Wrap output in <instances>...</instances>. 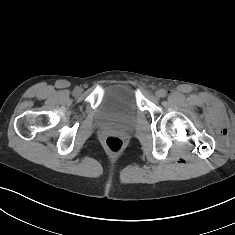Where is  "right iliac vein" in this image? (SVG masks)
<instances>
[{"label":"right iliac vein","mask_w":235,"mask_h":235,"mask_svg":"<svg viewBox=\"0 0 235 235\" xmlns=\"http://www.w3.org/2000/svg\"><path fill=\"white\" fill-rule=\"evenodd\" d=\"M81 92H82V89L80 87H77L75 93L80 94Z\"/></svg>","instance_id":"right-iliac-vein-1"}]
</instances>
